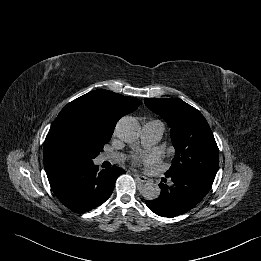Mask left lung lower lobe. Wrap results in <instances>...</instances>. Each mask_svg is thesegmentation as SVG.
Wrapping results in <instances>:
<instances>
[{"label": "left lung lower lobe", "mask_w": 261, "mask_h": 261, "mask_svg": "<svg viewBox=\"0 0 261 261\" xmlns=\"http://www.w3.org/2000/svg\"><path fill=\"white\" fill-rule=\"evenodd\" d=\"M169 178L173 186L160 183V196L155 200H147L146 205L152 212L173 218L194 208L209 192L214 178L198 173H182ZM163 182L166 179H162Z\"/></svg>", "instance_id": "1"}]
</instances>
